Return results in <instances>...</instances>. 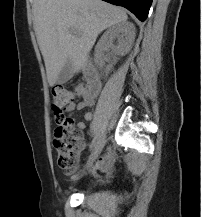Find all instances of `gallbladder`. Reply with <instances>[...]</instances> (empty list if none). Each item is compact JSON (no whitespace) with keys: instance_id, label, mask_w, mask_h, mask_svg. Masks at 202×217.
Wrapping results in <instances>:
<instances>
[{"instance_id":"gallbladder-1","label":"gallbladder","mask_w":202,"mask_h":217,"mask_svg":"<svg viewBox=\"0 0 202 217\" xmlns=\"http://www.w3.org/2000/svg\"><path fill=\"white\" fill-rule=\"evenodd\" d=\"M74 75V65L70 59L67 60L63 68L61 69L56 84L62 85L69 81Z\"/></svg>"}]
</instances>
